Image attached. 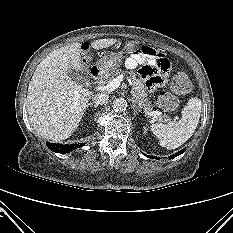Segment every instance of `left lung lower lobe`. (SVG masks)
<instances>
[{"label":"left lung lower lobe","instance_id":"0a47b994","mask_svg":"<svg viewBox=\"0 0 233 233\" xmlns=\"http://www.w3.org/2000/svg\"><path fill=\"white\" fill-rule=\"evenodd\" d=\"M184 151H185V149H183L182 151H179V152L176 153L175 155H172V156L170 157V159L175 158V157L181 155ZM146 156L149 157V158H153V159H159V157H156V156H149V155H146Z\"/></svg>","mask_w":233,"mask_h":233}]
</instances>
